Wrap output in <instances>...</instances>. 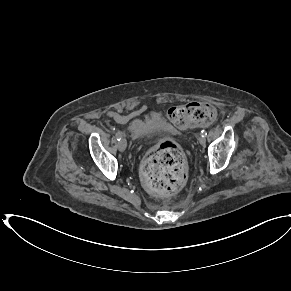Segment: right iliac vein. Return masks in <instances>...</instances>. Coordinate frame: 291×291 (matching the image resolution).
Returning a JSON list of instances; mask_svg holds the SVG:
<instances>
[{
    "label": "right iliac vein",
    "instance_id": "obj_1",
    "mask_svg": "<svg viewBox=\"0 0 291 291\" xmlns=\"http://www.w3.org/2000/svg\"><path fill=\"white\" fill-rule=\"evenodd\" d=\"M127 146V141L125 138H122L119 142H118V149L119 151L123 152L126 149Z\"/></svg>",
    "mask_w": 291,
    "mask_h": 291
}]
</instances>
